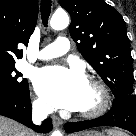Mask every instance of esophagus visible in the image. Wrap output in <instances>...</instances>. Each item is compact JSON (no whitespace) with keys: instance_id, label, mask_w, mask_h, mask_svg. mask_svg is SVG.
<instances>
[{"instance_id":"1","label":"esophagus","mask_w":136,"mask_h":136,"mask_svg":"<svg viewBox=\"0 0 136 136\" xmlns=\"http://www.w3.org/2000/svg\"><path fill=\"white\" fill-rule=\"evenodd\" d=\"M52 123H53V126H54L55 128H57V127H59L60 125H62V120H61L59 117L53 115V116H52Z\"/></svg>"}]
</instances>
